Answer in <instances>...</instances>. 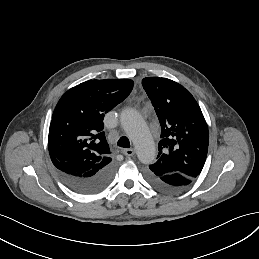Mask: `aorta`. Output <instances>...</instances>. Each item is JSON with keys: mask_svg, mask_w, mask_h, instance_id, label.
Returning a JSON list of instances; mask_svg holds the SVG:
<instances>
[{"mask_svg": "<svg viewBox=\"0 0 259 259\" xmlns=\"http://www.w3.org/2000/svg\"><path fill=\"white\" fill-rule=\"evenodd\" d=\"M120 121L135 146L138 159L144 164L153 163L156 147L141 115L134 109H125L121 113Z\"/></svg>", "mask_w": 259, "mask_h": 259, "instance_id": "obj_1", "label": "aorta"}]
</instances>
